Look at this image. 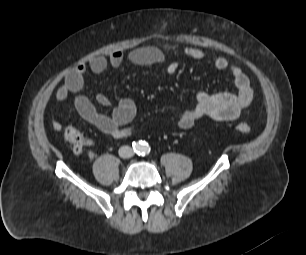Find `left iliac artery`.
I'll list each match as a JSON object with an SVG mask.
<instances>
[{
	"instance_id": "1",
	"label": "left iliac artery",
	"mask_w": 306,
	"mask_h": 255,
	"mask_svg": "<svg viewBox=\"0 0 306 255\" xmlns=\"http://www.w3.org/2000/svg\"><path fill=\"white\" fill-rule=\"evenodd\" d=\"M143 149H144L143 153H146L148 151V146H145Z\"/></svg>"
}]
</instances>
